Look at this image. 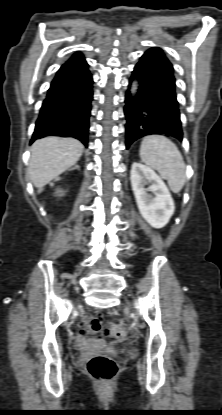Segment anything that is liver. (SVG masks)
I'll list each match as a JSON object with an SVG mask.
<instances>
[{
    "label": "liver",
    "instance_id": "1",
    "mask_svg": "<svg viewBox=\"0 0 222 415\" xmlns=\"http://www.w3.org/2000/svg\"><path fill=\"white\" fill-rule=\"evenodd\" d=\"M84 146L77 139L45 137L31 146L28 166L30 180L42 188L77 163Z\"/></svg>",
    "mask_w": 222,
    "mask_h": 415
}]
</instances>
